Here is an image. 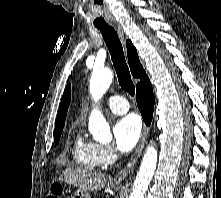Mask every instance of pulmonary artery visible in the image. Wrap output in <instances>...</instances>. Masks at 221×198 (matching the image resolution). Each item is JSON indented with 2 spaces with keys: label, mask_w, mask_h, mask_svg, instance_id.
Listing matches in <instances>:
<instances>
[{
  "label": "pulmonary artery",
  "mask_w": 221,
  "mask_h": 198,
  "mask_svg": "<svg viewBox=\"0 0 221 198\" xmlns=\"http://www.w3.org/2000/svg\"><path fill=\"white\" fill-rule=\"evenodd\" d=\"M106 105L115 114H125L129 110V104L127 100L122 96H111L107 99Z\"/></svg>",
  "instance_id": "obj_1"
}]
</instances>
